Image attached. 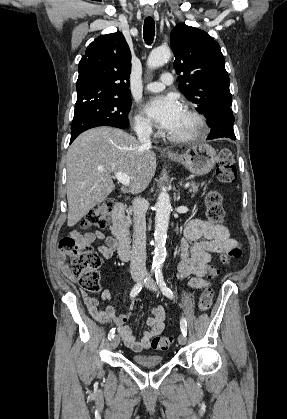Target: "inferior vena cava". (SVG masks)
<instances>
[{"label": "inferior vena cava", "instance_id": "obj_1", "mask_svg": "<svg viewBox=\"0 0 287 419\" xmlns=\"http://www.w3.org/2000/svg\"><path fill=\"white\" fill-rule=\"evenodd\" d=\"M152 130L142 125L137 130V137L143 147H151ZM133 206V244L130 272L133 277H144L146 271V203L141 197L134 198Z\"/></svg>", "mask_w": 287, "mask_h": 419}]
</instances>
